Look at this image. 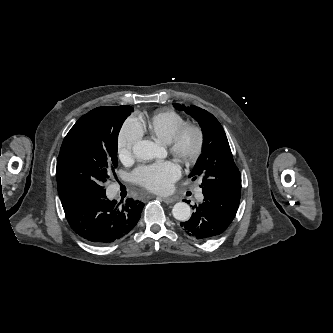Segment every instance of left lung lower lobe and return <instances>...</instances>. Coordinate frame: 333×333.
Returning a JSON list of instances; mask_svg holds the SVG:
<instances>
[{
  "mask_svg": "<svg viewBox=\"0 0 333 333\" xmlns=\"http://www.w3.org/2000/svg\"><path fill=\"white\" fill-rule=\"evenodd\" d=\"M204 200L193 206L191 218L180 223L189 236L207 239L223 233L233 221L240 202V192H214L202 189Z\"/></svg>",
  "mask_w": 333,
  "mask_h": 333,
  "instance_id": "obj_1",
  "label": "left lung lower lobe"
}]
</instances>
